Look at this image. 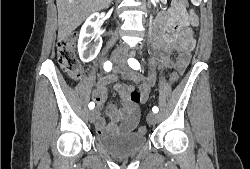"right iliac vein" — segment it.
I'll return each instance as SVG.
<instances>
[{
  "label": "right iliac vein",
  "mask_w": 250,
  "mask_h": 169,
  "mask_svg": "<svg viewBox=\"0 0 250 169\" xmlns=\"http://www.w3.org/2000/svg\"><path fill=\"white\" fill-rule=\"evenodd\" d=\"M111 60L115 63H119L120 62V58L117 56V55H112L111 56ZM88 116H89V120L91 122H94L96 117H97V111L96 110H90L89 113H88Z\"/></svg>",
  "instance_id": "1"
}]
</instances>
